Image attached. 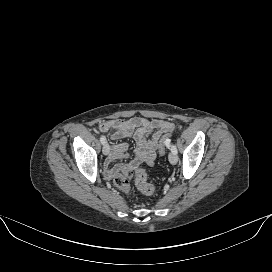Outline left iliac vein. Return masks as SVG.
Segmentation results:
<instances>
[{
	"instance_id": "1",
	"label": "left iliac vein",
	"mask_w": 272,
	"mask_h": 272,
	"mask_svg": "<svg viewBox=\"0 0 272 272\" xmlns=\"http://www.w3.org/2000/svg\"><path fill=\"white\" fill-rule=\"evenodd\" d=\"M168 158H169V161H170L171 164H176L177 161H178V157L174 153H170Z\"/></svg>"
}]
</instances>
